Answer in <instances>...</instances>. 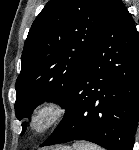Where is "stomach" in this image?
<instances>
[{"label":"stomach","instance_id":"1","mask_svg":"<svg viewBox=\"0 0 139 150\" xmlns=\"http://www.w3.org/2000/svg\"><path fill=\"white\" fill-rule=\"evenodd\" d=\"M57 150H73L70 147H60Z\"/></svg>","mask_w":139,"mask_h":150}]
</instances>
